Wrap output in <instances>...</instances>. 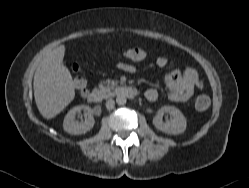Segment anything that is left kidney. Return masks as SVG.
<instances>
[{
    "label": "left kidney",
    "instance_id": "left-kidney-1",
    "mask_svg": "<svg viewBox=\"0 0 249 188\" xmlns=\"http://www.w3.org/2000/svg\"><path fill=\"white\" fill-rule=\"evenodd\" d=\"M165 113L171 115V119L166 122L163 121V115ZM153 123L158 130L173 135L183 133L187 126L186 118L182 112L174 106L161 107L157 115L153 118Z\"/></svg>",
    "mask_w": 249,
    "mask_h": 188
}]
</instances>
